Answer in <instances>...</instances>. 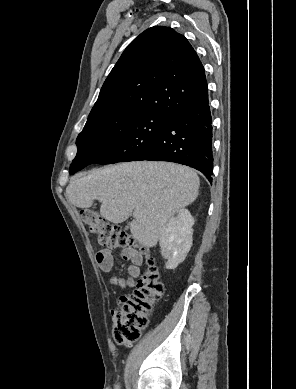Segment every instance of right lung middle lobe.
<instances>
[{
  "mask_svg": "<svg viewBox=\"0 0 296 389\" xmlns=\"http://www.w3.org/2000/svg\"><path fill=\"white\" fill-rule=\"evenodd\" d=\"M170 116L117 110L89 118L76 140L77 155L69 172L91 163L135 161L164 130Z\"/></svg>",
  "mask_w": 296,
  "mask_h": 389,
  "instance_id": "obj_1",
  "label": "right lung middle lobe"
}]
</instances>
